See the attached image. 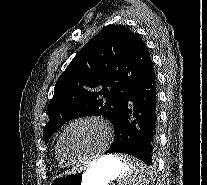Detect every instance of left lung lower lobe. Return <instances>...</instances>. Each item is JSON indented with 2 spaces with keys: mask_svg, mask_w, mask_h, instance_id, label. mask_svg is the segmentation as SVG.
<instances>
[{
  "mask_svg": "<svg viewBox=\"0 0 207 185\" xmlns=\"http://www.w3.org/2000/svg\"><path fill=\"white\" fill-rule=\"evenodd\" d=\"M154 68L137 81L121 105L114 124V142L105 153H124L151 165L158 142Z\"/></svg>",
  "mask_w": 207,
  "mask_h": 185,
  "instance_id": "1",
  "label": "left lung lower lobe"
}]
</instances>
